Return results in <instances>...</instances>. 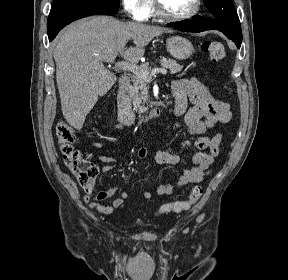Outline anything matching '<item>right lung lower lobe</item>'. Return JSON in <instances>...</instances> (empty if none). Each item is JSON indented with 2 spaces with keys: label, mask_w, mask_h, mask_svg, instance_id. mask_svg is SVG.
<instances>
[{
  "label": "right lung lower lobe",
  "mask_w": 288,
  "mask_h": 280,
  "mask_svg": "<svg viewBox=\"0 0 288 280\" xmlns=\"http://www.w3.org/2000/svg\"><path fill=\"white\" fill-rule=\"evenodd\" d=\"M117 12L99 3L81 1L60 6L50 11L47 23L49 40L52 41L58 32L67 24L89 15H114Z\"/></svg>",
  "instance_id": "obj_1"
}]
</instances>
